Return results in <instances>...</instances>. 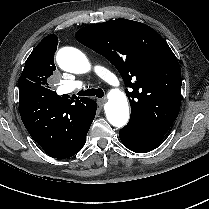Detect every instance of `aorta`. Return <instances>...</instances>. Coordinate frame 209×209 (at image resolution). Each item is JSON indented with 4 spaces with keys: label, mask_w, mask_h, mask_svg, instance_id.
Masks as SVG:
<instances>
[{
    "label": "aorta",
    "mask_w": 209,
    "mask_h": 209,
    "mask_svg": "<svg viewBox=\"0 0 209 209\" xmlns=\"http://www.w3.org/2000/svg\"><path fill=\"white\" fill-rule=\"evenodd\" d=\"M56 59L60 68L67 72L82 74L90 69V62L85 54L73 47L60 49ZM104 109L106 118L111 125L121 128L127 124L129 106L124 92L118 89L111 91Z\"/></svg>",
    "instance_id": "762f6f07"
}]
</instances>
